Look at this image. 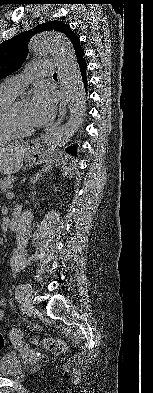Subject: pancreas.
I'll list each match as a JSON object with an SVG mask.
<instances>
[{"label": "pancreas", "mask_w": 153, "mask_h": 393, "mask_svg": "<svg viewBox=\"0 0 153 393\" xmlns=\"http://www.w3.org/2000/svg\"><path fill=\"white\" fill-rule=\"evenodd\" d=\"M13 183L14 177L11 176L0 179V190L6 192L8 189L13 187Z\"/></svg>", "instance_id": "cf45deb5"}]
</instances>
